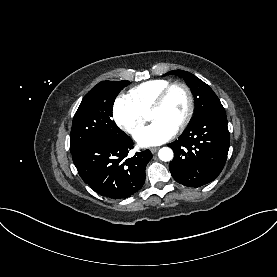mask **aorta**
I'll return each instance as SVG.
<instances>
[{"mask_svg":"<svg viewBox=\"0 0 277 277\" xmlns=\"http://www.w3.org/2000/svg\"><path fill=\"white\" fill-rule=\"evenodd\" d=\"M159 159L168 162L173 159V151L169 147H163L158 152Z\"/></svg>","mask_w":277,"mask_h":277,"instance_id":"obj_1","label":"aorta"}]
</instances>
